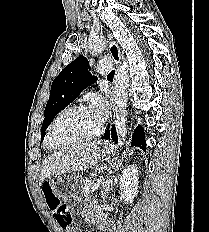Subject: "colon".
I'll return each instance as SVG.
<instances>
[{"mask_svg": "<svg viewBox=\"0 0 209 232\" xmlns=\"http://www.w3.org/2000/svg\"><path fill=\"white\" fill-rule=\"evenodd\" d=\"M43 192L46 197L47 205L52 210L56 220V226H61L62 228L69 227L72 222V215L69 208L60 202L49 185H44Z\"/></svg>", "mask_w": 209, "mask_h": 232, "instance_id": "colon-1", "label": "colon"}]
</instances>
